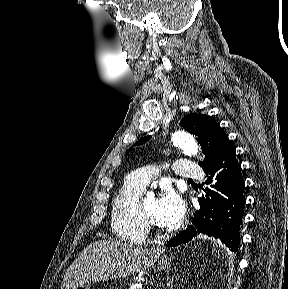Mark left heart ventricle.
<instances>
[{"mask_svg":"<svg viewBox=\"0 0 288 289\" xmlns=\"http://www.w3.org/2000/svg\"><path fill=\"white\" fill-rule=\"evenodd\" d=\"M142 208L145 215L154 222V224H158L156 221V209H157V200L153 198H146L142 201ZM159 225V224H158Z\"/></svg>","mask_w":288,"mask_h":289,"instance_id":"1","label":"left heart ventricle"}]
</instances>
